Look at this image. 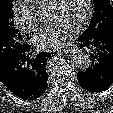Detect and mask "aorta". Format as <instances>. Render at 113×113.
<instances>
[{
	"label": "aorta",
	"instance_id": "1",
	"mask_svg": "<svg viewBox=\"0 0 113 113\" xmlns=\"http://www.w3.org/2000/svg\"><path fill=\"white\" fill-rule=\"evenodd\" d=\"M71 64L74 68L85 71L91 64L90 56L80 48H74L71 53Z\"/></svg>",
	"mask_w": 113,
	"mask_h": 113
}]
</instances>
